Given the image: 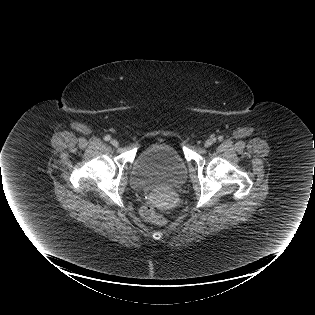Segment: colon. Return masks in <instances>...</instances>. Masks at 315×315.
<instances>
[{"label":"colon","instance_id":"1","mask_svg":"<svg viewBox=\"0 0 315 315\" xmlns=\"http://www.w3.org/2000/svg\"><path fill=\"white\" fill-rule=\"evenodd\" d=\"M141 215L145 220L153 224L163 225L165 223L164 217L156 211L151 203H147L142 207Z\"/></svg>","mask_w":315,"mask_h":315}]
</instances>
